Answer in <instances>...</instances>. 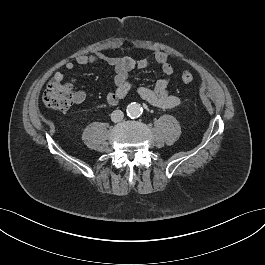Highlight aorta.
I'll return each mask as SVG.
<instances>
[{"label": "aorta", "mask_w": 265, "mask_h": 265, "mask_svg": "<svg viewBox=\"0 0 265 265\" xmlns=\"http://www.w3.org/2000/svg\"><path fill=\"white\" fill-rule=\"evenodd\" d=\"M126 113L130 118H138L142 114V107L138 103H130L126 108Z\"/></svg>", "instance_id": "762f6f07"}]
</instances>
